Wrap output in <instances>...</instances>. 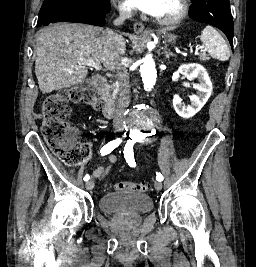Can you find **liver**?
<instances>
[{
    "instance_id": "obj_1",
    "label": "liver",
    "mask_w": 256,
    "mask_h": 267,
    "mask_svg": "<svg viewBox=\"0 0 256 267\" xmlns=\"http://www.w3.org/2000/svg\"><path fill=\"white\" fill-rule=\"evenodd\" d=\"M107 32L97 26L65 22L40 30L35 74L42 94L83 84L88 74L85 64H103L114 72L115 62L125 54L126 42H113ZM130 40L136 42L134 36Z\"/></svg>"
}]
</instances>
